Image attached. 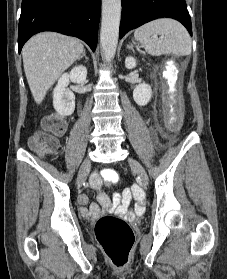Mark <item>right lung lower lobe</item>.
<instances>
[{
  "label": "right lung lower lobe",
  "mask_w": 227,
  "mask_h": 279,
  "mask_svg": "<svg viewBox=\"0 0 227 279\" xmlns=\"http://www.w3.org/2000/svg\"><path fill=\"white\" fill-rule=\"evenodd\" d=\"M100 9L101 0H22L18 51L42 31L78 37L95 51Z\"/></svg>",
  "instance_id": "right-lung-lower-lobe-1"
}]
</instances>
